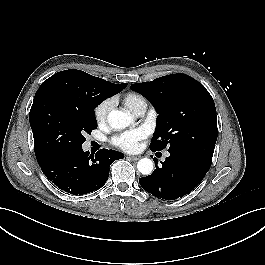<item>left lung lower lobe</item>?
I'll return each mask as SVG.
<instances>
[{"mask_svg":"<svg viewBox=\"0 0 265 265\" xmlns=\"http://www.w3.org/2000/svg\"><path fill=\"white\" fill-rule=\"evenodd\" d=\"M156 170L139 179L142 188L159 199L174 200L190 193L204 178L211 164L190 155H171Z\"/></svg>","mask_w":265,"mask_h":265,"instance_id":"1","label":"left lung lower lobe"}]
</instances>
